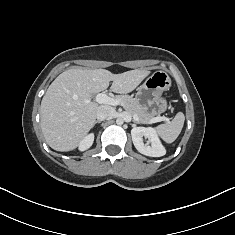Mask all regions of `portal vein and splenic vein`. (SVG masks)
<instances>
[{
  "mask_svg": "<svg viewBox=\"0 0 235 235\" xmlns=\"http://www.w3.org/2000/svg\"><path fill=\"white\" fill-rule=\"evenodd\" d=\"M95 101L99 104H108V105H113V106L120 104V101L117 98H111L104 93L97 94V96L95 97ZM133 119L139 122V118L136 114L133 115ZM161 121H165L169 123L168 118L159 116V117L152 118L149 124L161 122Z\"/></svg>",
  "mask_w": 235,
  "mask_h": 235,
  "instance_id": "18ae733b",
  "label": "portal vein and splenic vein"
}]
</instances>
